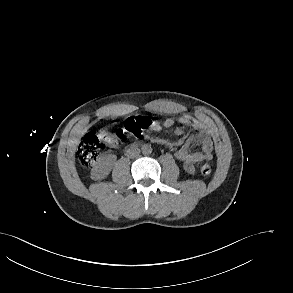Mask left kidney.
<instances>
[{
  "label": "left kidney",
  "mask_w": 293,
  "mask_h": 293,
  "mask_svg": "<svg viewBox=\"0 0 293 293\" xmlns=\"http://www.w3.org/2000/svg\"><path fill=\"white\" fill-rule=\"evenodd\" d=\"M184 169H185V171H187L190 174H194L195 173V167L192 164H186V165H184Z\"/></svg>",
  "instance_id": "5707ae66"
}]
</instances>
